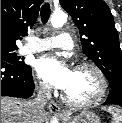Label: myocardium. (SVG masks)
I'll return each instance as SVG.
<instances>
[{
  "label": "myocardium",
  "mask_w": 122,
  "mask_h": 123,
  "mask_svg": "<svg viewBox=\"0 0 122 123\" xmlns=\"http://www.w3.org/2000/svg\"><path fill=\"white\" fill-rule=\"evenodd\" d=\"M83 68H89L92 69L98 76L100 80V90L96 96L89 100L85 101H75L71 99L65 92L62 94V98L64 102H66L68 105L72 107H89L92 106L98 102H100L107 94L108 91V79L104 73V71L97 66L94 63L91 62H82L76 65L75 69H83Z\"/></svg>",
  "instance_id": "f54148a6"
}]
</instances>
